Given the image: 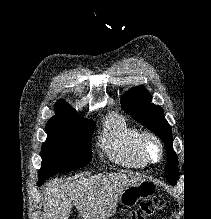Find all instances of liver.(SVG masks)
<instances>
[{
	"instance_id": "1",
	"label": "liver",
	"mask_w": 211,
	"mask_h": 219,
	"mask_svg": "<svg viewBox=\"0 0 211 219\" xmlns=\"http://www.w3.org/2000/svg\"><path fill=\"white\" fill-rule=\"evenodd\" d=\"M143 180L120 174H98L73 182L54 180L44 187V219H68L75 205L84 219H107L116 209L119 195Z\"/></svg>"
}]
</instances>
